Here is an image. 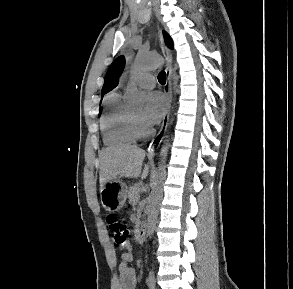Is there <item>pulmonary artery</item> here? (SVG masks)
I'll use <instances>...</instances> for the list:
<instances>
[{
  "instance_id": "obj_1",
  "label": "pulmonary artery",
  "mask_w": 293,
  "mask_h": 289,
  "mask_svg": "<svg viewBox=\"0 0 293 289\" xmlns=\"http://www.w3.org/2000/svg\"><path fill=\"white\" fill-rule=\"evenodd\" d=\"M137 83L143 88H153L155 86L156 79L151 73H143L138 77Z\"/></svg>"
}]
</instances>
